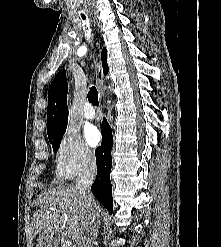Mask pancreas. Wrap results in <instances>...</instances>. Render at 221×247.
<instances>
[{
  "mask_svg": "<svg viewBox=\"0 0 221 247\" xmlns=\"http://www.w3.org/2000/svg\"><path fill=\"white\" fill-rule=\"evenodd\" d=\"M63 247H68V245H67V244H65V246H63Z\"/></svg>",
  "mask_w": 221,
  "mask_h": 247,
  "instance_id": "cf45deb5",
  "label": "pancreas"
}]
</instances>
